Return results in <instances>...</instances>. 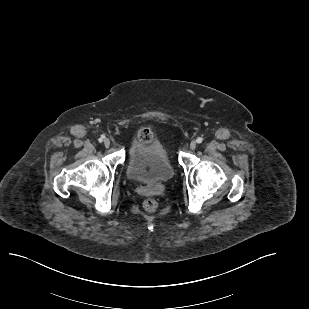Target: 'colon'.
Listing matches in <instances>:
<instances>
[{"label":"colon","mask_w":309,"mask_h":309,"mask_svg":"<svg viewBox=\"0 0 309 309\" xmlns=\"http://www.w3.org/2000/svg\"><path fill=\"white\" fill-rule=\"evenodd\" d=\"M140 137L144 140L149 139V137H150L149 131L145 130V129L142 130L141 133H140ZM143 207L148 212H154L158 207V203L155 199L148 198L144 201Z\"/></svg>","instance_id":"colon-1"}]
</instances>
